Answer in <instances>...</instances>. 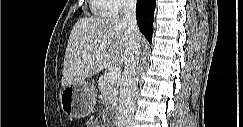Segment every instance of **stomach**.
Masks as SVG:
<instances>
[{"label":"stomach","mask_w":243,"mask_h":127,"mask_svg":"<svg viewBox=\"0 0 243 127\" xmlns=\"http://www.w3.org/2000/svg\"><path fill=\"white\" fill-rule=\"evenodd\" d=\"M97 91L93 83L80 81L63 88L60 103L63 112L72 118L87 117L96 103Z\"/></svg>","instance_id":"obj_1"}]
</instances>
